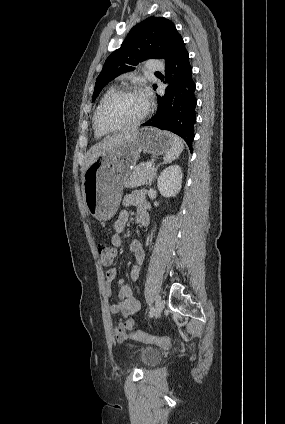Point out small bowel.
I'll return each instance as SVG.
<instances>
[{
    "label": "small bowel",
    "instance_id": "obj_1",
    "mask_svg": "<svg viewBox=\"0 0 285 424\" xmlns=\"http://www.w3.org/2000/svg\"><path fill=\"white\" fill-rule=\"evenodd\" d=\"M125 209L119 212L113 228L115 233L111 237V243L114 247H121L123 244L122 232L129 221L130 213L127 208L136 207L137 213L135 221L137 224L145 226L148 224L149 217L146 211V193L144 190H136L126 194L123 198ZM131 251L134 255L135 264L130 271V278L138 281L141 275V266L145 259L143 244L140 240L131 242ZM117 277V270L110 268L105 274L104 293L106 297H112L114 294L113 282ZM135 290L124 280H119L116 289L118 301L109 307L110 313L114 316L125 318L124 322H119L113 329V336L116 341L123 342L131 337L135 322L131 316L140 310V302L134 295Z\"/></svg>",
    "mask_w": 285,
    "mask_h": 424
}]
</instances>
